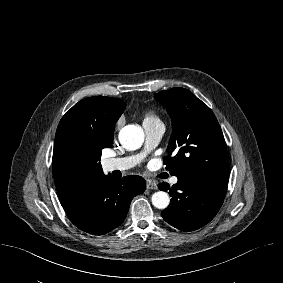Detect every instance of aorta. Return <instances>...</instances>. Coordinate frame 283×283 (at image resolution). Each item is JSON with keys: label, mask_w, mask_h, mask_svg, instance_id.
I'll return each mask as SVG.
<instances>
[{"label": "aorta", "mask_w": 283, "mask_h": 283, "mask_svg": "<svg viewBox=\"0 0 283 283\" xmlns=\"http://www.w3.org/2000/svg\"><path fill=\"white\" fill-rule=\"evenodd\" d=\"M119 141L127 150H136L144 142V132L140 126L127 125L119 132ZM152 204L158 209H165L170 203L169 195L164 191H157L152 195Z\"/></svg>", "instance_id": "1"}]
</instances>
